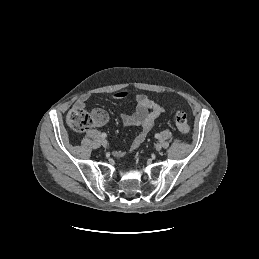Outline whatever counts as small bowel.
I'll return each mask as SVG.
<instances>
[{
	"instance_id": "c3829d8e",
	"label": "small bowel",
	"mask_w": 259,
	"mask_h": 259,
	"mask_svg": "<svg viewBox=\"0 0 259 259\" xmlns=\"http://www.w3.org/2000/svg\"><path fill=\"white\" fill-rule=\"evenodd\" d=\"M115 98H124L127 96V92L121 91L113 94ZM88 97L82 96L76 102V106L84 107ZM136 109L132 114H122L121 121L125 126H135L140 129L135 136L130 151L136 150L144 142L147 134L153 128L156 119L165 112L162 105L149 99L147 96L139 94L135 97ZM94 124L96 126L104 125L108 120V114L101 108H95L93 110ZM123 150H117L114 152L116 157L123 156Z\"/></svg>"
}]
</instances>
